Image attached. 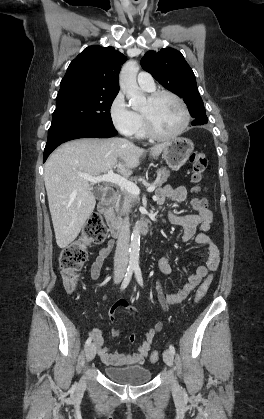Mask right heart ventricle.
I'll return each mask as SVG.
<instances>
[{
	"label": "right heart ventricle",
	"mask_w": 264,
	"mask_h": 419,
	"mask_svg": "<svg viewBox=\"0 0 264 419\" xmlns=\"http://www.w3.org/2000/svg\"><path fill=\"white\" fill-rule=\"evenodd\" d=\"M146 91H148V90H146ZM149 91H152V90H149ZM137 115H138V119H139V127H138L136 135L138 137L143 138V137L147 136L144 118H143V115H142L141 112H138Z\"/></svg>",
	"instance_id": "e07e8e85"
}]
</instances>
